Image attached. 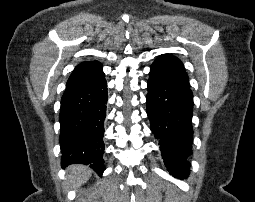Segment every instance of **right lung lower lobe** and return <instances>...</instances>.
<instances>
[{"label": "right lung lower lobe", "instance_id": "obj_1", "mask_svg": "<svg viewBox=\"0 0 255 202\" xmlns=\"http://www.w3.org/2000/svg\"><path fill=\"white\" fill-rule=\"evenodd\" d=\"M105 78L94 83L66 88L60 109L62 166L90 165L99 175L105 169L103 133L106 117Z\"/></svg>", "mask_w": 255, "mask_h": 202}]
</instances>
